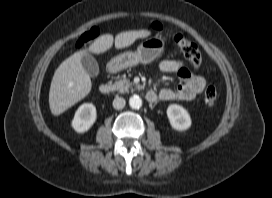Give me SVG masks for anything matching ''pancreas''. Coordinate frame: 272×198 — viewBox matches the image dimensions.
<instances>
[{"label":"pancreas","instance_id":"pancreas-1","mask_svg":"<svg viewBox=\"0 0 272 198\" xmlns=\"http://www.w3.org/2000/svg\"><path fill=\"white\" fill-rule=\"evenodd\" d=\"M135 86L134 83L130 82L128 79L123 78L122 80L115 81L114 88L115 90L119 91L120 93L129 92L132 90V87ZM136 88H140L139 85H136Z\"/></svg>","mask_w":272,"mask_h":198}]
</instances>
